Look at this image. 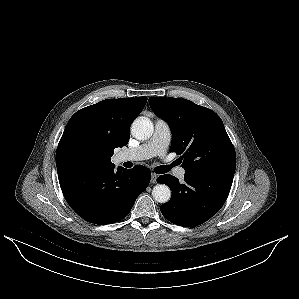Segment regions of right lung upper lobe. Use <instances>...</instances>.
<instances>
[{"label": "right lung upper lobe", "mask_w": 299, "mask_h": 299, "mask_svg": "<svg viewBox=\"0 0 299 299\" xmlns=\"http://www.w3.org/2000/svg\"><path fill=\"white\" fill-rule=\"evenodd\" d=\"M146 102L147 97L106 99L77 111L59 141L57 170L114 165V149L128 143L131 123Z\"/></svg>", "instance_id": "right-lung-upper-lobe-1"}]
</instances>
